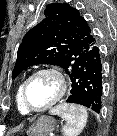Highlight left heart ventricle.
Listing matches in <instances>:
<instances>
[{"label": "left heart ventricle", "mask_w": 117, "mask_h": 136, "mask_svg": "<svg viewBox=\"0 0 117 136\" xmlns=\"http://www.w3.org/2000/svg\"><path fill=\"white\" fill-rule=\"evenodd\" d=\"M58 90V82L52 75H38L28 85V103L33 108H42L55 98Z\"/></svg>", "instance_id": "left-heart-ventricle-1"}]
</instances>
